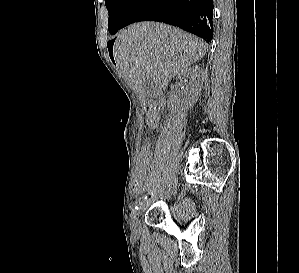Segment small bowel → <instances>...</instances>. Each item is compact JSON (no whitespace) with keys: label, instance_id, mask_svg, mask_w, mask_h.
I'll use <instances>...</instances> for the list:
<instances>
[{"label":"small bowel","instance_id":"small-bowel-1","mask_svg":"<svg viewBox=\"0 0 299 273\" xmlns=\"http://www.w3.org/2000/svg\"><path fill=\"white\" fill-rule=\"evenodd\" d=\"M160 120L158 111L150 108L146 114V122L150 129L157 128ZM152 161V151H145L142 149L139 158V168L135 178L133 191L135 194L141 193L147 184V172Z\"/></svg>","mask_w":299,"mask_h":273}]
</instances>
